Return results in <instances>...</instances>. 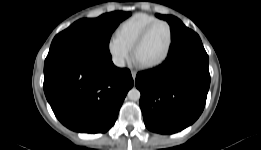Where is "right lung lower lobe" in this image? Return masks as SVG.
Returning a JSON list of instances; mask_svg holds the SVG:
<instances>
[{"label":"right lung lower lobe","instance_id":"obj_1","mask_svg":"<svg viewBox=\"0 0 261 150\" xmlns=\"http://www.w3.org/2000/svg\"><path fill=\"white\" fill-rule=\"evenodd\" d=\"M132 86L130 71L115 67L110 53L58 50L45 60L46 98L59 121L76 132L108 131Z\"/></svg>","mask_w":261,"mask_h":150}]
</instances>
